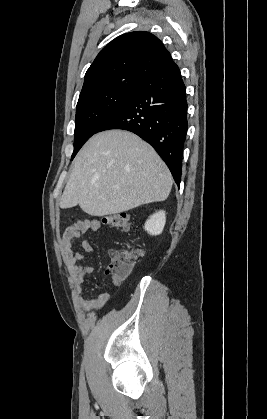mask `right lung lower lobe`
<instances>
[{"mask_svg":"<svg viewBox=\"0 0 267 419\" xmlns=\"http://www.w3.org/2000/svg\"><path fill=\"white\" fill-rule=\"evenodd\" d=\"M186 87L178 66L154 73L99 132L131 131L147 141L165 161L180 185L187 122Z\"/></svg>","mask_w":267,"mask_h":419,"instance_id":"98d812e1","label":"right lung lower lobe"}]
</instances>
